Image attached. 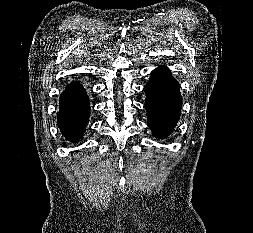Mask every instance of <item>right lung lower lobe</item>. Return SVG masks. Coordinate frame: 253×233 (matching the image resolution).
<instances>
[{"mask_svg": "<svg viewBox=\"0 0 253 233\" xmlns=\"http://www.w3.org/2000/svg\"><path fill=\"white\" fill-rule=\"evenodd\" d=\"M88 96L80 83H70L60 97L57 123L70 141H78L85 131L90 116Z\"/></svg>", "mask_w": 253, "mask_h": 233, "instance_id": "right-lung-lower-lobe-1", "label": "right lung lower lobe"}]
</instances>
